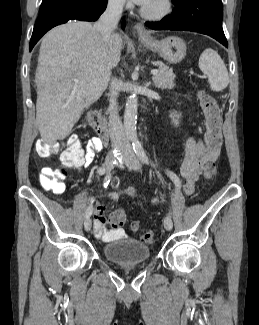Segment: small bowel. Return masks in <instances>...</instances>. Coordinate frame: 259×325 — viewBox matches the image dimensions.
<instances>
[{
	"instance_id": "obj_1",
	"label": "small bowel",
	"mask_w": 259,
	"mask_h": 325,
	"mask_svg": "<svg viewBox=\"0 0 259 325\" xmlns=\"http://www.w3.org/2000/svg\"><path fill=\"white\" fill-rule=\"evenodd\" d=\"M103 148V142L98 137H91L83 149L80 159L75 161L71 167L77 170L82 169L92 163L96 151ZM220 148L209 150L207 146L198 139L189 137L185 142L184 158L180 166V176L184 179L183 190L186 195H191L194 192L195 184L199 180L206 167L213 165L219 155ZM45 169V168H44ZM126 193L136 195L135 187L130 186L126 189ZM110 197L116 201L119 195L115 192L110 193ZM153 203L157 199H151ZM105 207L97 205L94 210V233L95 236L103 241H110L117 238H125V231L120 229H108L106 224Z\"/></svg>"
}]
</instances>
